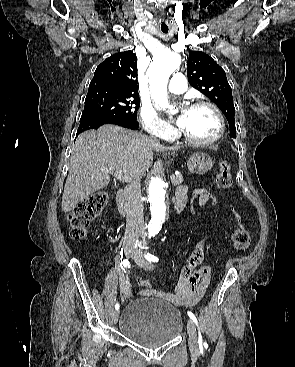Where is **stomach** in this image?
<instances>
[{"mask_svg":"<svg viewBox=\"0 0 295 367\" xmlns=\"http://www.w3.org/2000/svg\"><path fill=\"white\" fill-rule=\"evenodd\" d=\"M212 166L211 157L204 152L193 153L187 161L188 170L193 174L202 175L210 170Z\"/></svg>","mask_w":295,"mask_h":367,"instance_id":"stomach-1","label":"stomach"}]
</instances>
